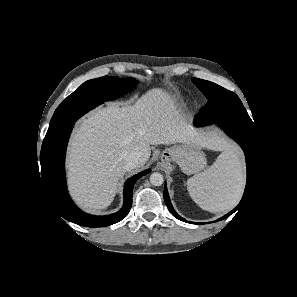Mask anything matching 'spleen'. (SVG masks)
<instances>
[{
	"label": "spleen",
	"instance_id": "obj_1",
	"mask_svg": "<svg viewBox=\"0 0 297 297\" xmlns=\"http://www.w3.org/2000/svg\"><path fill=\"white\" fill-rule=\"evenodd\" d=\"M239 157L236 149H228L211 167L188 179L189 194L202 209L226 211L238 203L244 186L243 165Z\"/></svg>",
	"mask_w": 297,
	"mask_h": 297
}]
</instances>
